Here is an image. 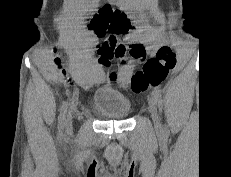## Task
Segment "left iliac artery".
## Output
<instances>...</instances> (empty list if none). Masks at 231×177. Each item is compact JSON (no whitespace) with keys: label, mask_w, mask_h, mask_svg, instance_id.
<instances>
[{"label":"left iliac artery","mask_w":231,"mask_h":177,"mask_svg":"<svg viewBox=\"0 0 231 177\" xmlns=\"http://www.w3.org/2000/svg\"><path fill=\"white\" fill-rule=\"evenodd\" d=\"M153 96L160 110H162L163 100L159 91H153ZM166 130V129H165Z\"/></svg>","instance_id":"left-iliac-artery-1"}]
</instances>
